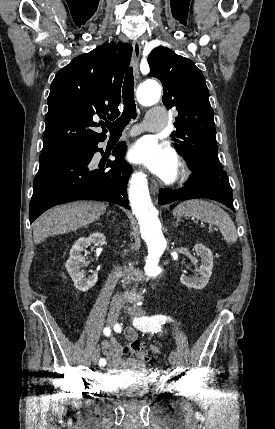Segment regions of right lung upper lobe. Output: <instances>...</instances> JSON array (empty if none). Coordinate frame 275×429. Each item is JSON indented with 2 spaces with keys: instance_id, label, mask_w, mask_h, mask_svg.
<instances>
[{
  "instance_id": "right-lung-upper-lobe-1",
  "label": "right lung upper lobe",
  "mask_w": 275,
  "mask_h": 429,
  "mask_svg": "<svg viewBox=\"0 0 275 429\" xmlns=\"http://www.w3.org/2000/svg\"><path fill=\"white\" fill-rule=\"evenodd\" d=\"M131 55L130 44L106 43L57 72L47 101L41 159L106 138V129L102 133L93 130L99 125L94 120L120 114L121 84Z\"/></svg>"
}]
</instances>
